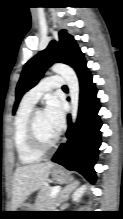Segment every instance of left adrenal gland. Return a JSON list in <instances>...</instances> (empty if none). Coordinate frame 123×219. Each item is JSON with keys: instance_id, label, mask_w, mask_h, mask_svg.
<instances>
[{"instance_id": "a2214340", "label": "left adrenal gland", "mask_w": 123, "mask_h": 219, "mask_svg": "<svg viewBox=\"0 0 123 219\" xmlns=\"http://www.w3.org/2000/svg\"><path fill=\"white\" fill-rule=\"evenodd\" d=\"M79 184V181H74L72 182L71 184L65 186L59 193V204L60 205L61 203L65 202L68 198H69V195L70 193L75 190V188L78 186ZM65 205H62V207H64Z\"/></svg>"}]
</instances>
